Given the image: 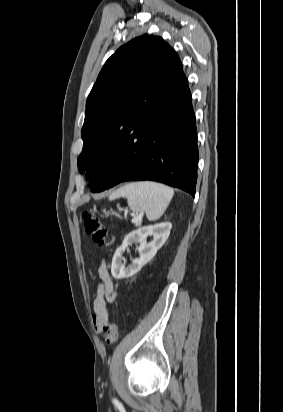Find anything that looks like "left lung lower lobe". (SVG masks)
<instances>
[{
    "instance_id": "left-lung-lower-lobe-1",
    "label": "left lung lower lobe",
    "mask_w": 283,
    "mask_h": 412,
    "mask_svg": "<svg viewBox=\"0 0 283 412\" xmlns=\"http://www.w3.org/2000/svg\"><path fill=\"white\" fill-rule=\"evenodd\" d=\"M198 158L195 115L186 80L167 111L152 126L142 147L112 152L92 189L101 192L125 181L151 180L194 197Z\"/></svg>"
}]
</instances>
